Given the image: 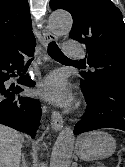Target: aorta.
Segmentation results:
<instances>
[{"mask_svg": "<svg viewBox=\"0 0 125 167\" xmlns=\"http://www.w3.org/2000/svg\"><path fill=\"white\" fill-rule=\"evenodd\" d=\"M49 28L55 35L68 33L72 27V17L69 13L55 11L49 17ZM74 133L69 127L61 131L54 144L50 167H69L74 148Z\"/></svg>", "mask_w": 125, "mask_h": 167, "instance_id": "762f6f07", "label": "aorta"}]
</instances>
